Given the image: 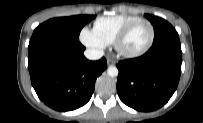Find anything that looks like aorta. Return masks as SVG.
<instances>
[{
	"mask_svg": "<svg viewBox=\"0 0 203 123\" xmlns=\"http://www.w3.org/2000/svg\"><path fill=\"white\" fill-rule=\"evenodd\" d=\"M119 71L116 66H109L107 69V74L111 77H116Z\"/></svg>",
	"mask_w": 203,
	"mask_h": 123,
	"instance_id": "aorta-1",
	"label": "aorta"
}]
</instances>
